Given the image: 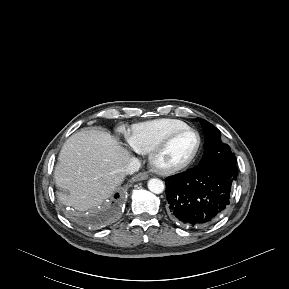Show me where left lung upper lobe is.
Segmentation results:
<instances>
[{
	"label": "left lung upper lobe",
	"mask_w": 289,
	"mask_h": 289,
	"mask_svg": "<svg viewBox=\"0 0 289 289\" xmlns=\"http://www.w3.org/2000/svg\"><path fill=\"white\" fill-rule=\"evenodd\" d=\"M204 130V154L198 167L236 165V157L230 147L221 141L220 131L204 119H198Z\"/></svg>",
	"instance_id": "5c2ea615"
}]
</instances>
